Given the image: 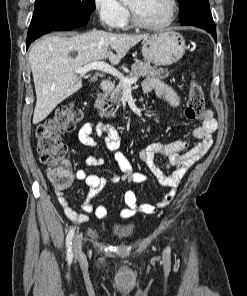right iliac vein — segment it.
<instances>
[{
    "instance_id": "63e3f726",
    "label": "right iliac vein",
    "mask_w": 247,
    "mask_h": 296,
    "mask_svg": "<svg viewBox=\"0 0 247 296\" xmlns=\"http://www.w3.org/2000/svg\"><path fill=\"white\" fill-rule=\"evenodd\" d=\"M73 248L74 254L76 257H80L82 255V244L80 237L76 236L73 240Z\"/></svg>"
}]
</instances>
